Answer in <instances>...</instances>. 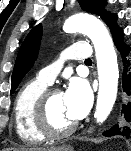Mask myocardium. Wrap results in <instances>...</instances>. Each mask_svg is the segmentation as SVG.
Wrapping results in <instances>:
<instances>
[{"instance_id":"myocardium-1","label":"myocardium","mask_w":131,"mask_h":151,"mask_svg":"<svg viewBox=\"0 0 131 151\" xmlns=\"http://www.w3.org/2000/svg\"><path fill=\"white\" fill-rule=\"evenodd\" d=\"M60 93L61 90L58 88H47L41 94L35 106V114H34L35 125L38 131L46 138H50V139L64 138L72 134L77 128L76 122H74L69 127L62 130H56L50 124L49 115H48V105L51 98L54 95Z\"/></svg>"}]
</instances>
